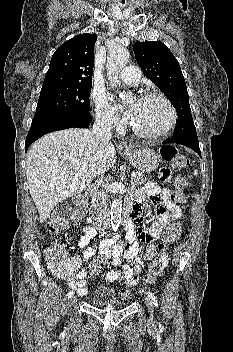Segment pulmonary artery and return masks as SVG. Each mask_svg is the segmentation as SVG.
Instances as JSON below:
<instances>
[{
	"label": "pulmonary artery",
	"instance_id": "obj_1",
	"mask_svg": "<svg viewBox=\"0 0 233 352\" xmlns=\"http://www.w3.org/2000/svg\"><path fill=\"white\" fill-rule=\"evenodd\" d=\"M123 82L129 85H137L141 78L140 70L135 66H127L119 73Z\"/></svg>",
	"mask_w": 233,
	"mask_h": 352
}]
</instances>
